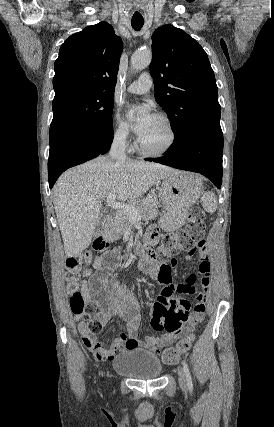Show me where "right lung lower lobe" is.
I'll use <instances>...</instances> for the list:
<instances>
[{
    "label": "right lung lower lobe",
    "instance_id": "98d812e1",
    "mask_svg": "<svg viewBox=\"0 0 274 427\" xmlns=\"http://www.w3.org/2000/svg\"><path fill=\"white\" fill-rule=\"evenodd\" d=\"M113 140V128L84 130L66 134L50 146L48 159L49 187L62 172L100 154H105Z\"/></svg>",
    "mask_w": 274,
    "mask_h": 427
}]
</instances>
